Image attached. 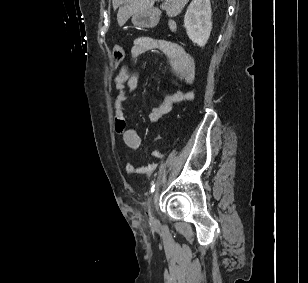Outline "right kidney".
<instances>
[{
    "mask_svg": "<svg viewBox=\"0 0 308 283\" xmlns=\"http://www.w3.org/2000/svg\"><path fill=\"white\" fill-rule=\"evenodd\" d=\"M184 27L194 44L205 46L212 30L210 0H193L190 3L184 16Z\"/></svg>",
    "mask_w": 308,
    "mask_h": 283,
    "instance_id": "ca27d5eb",
    "label": "right kidney"
}]
</instances>
